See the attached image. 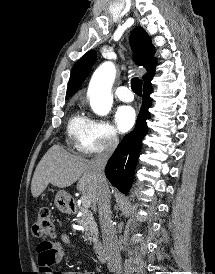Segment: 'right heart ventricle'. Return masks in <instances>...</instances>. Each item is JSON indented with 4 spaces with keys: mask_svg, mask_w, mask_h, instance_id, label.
Segmentation results:
<instances>
[{
    "mask_svg": "<svg viewBox=\"0 0 215 274\" xmlns=\"http://www.w3.org/2000/svg\"><path fill=\"white\" fill-rule=\"evenodd\" d=\"M89 125V119L80 114L79 112H75L67 125V132L69 138L77 145L83 136L85 135L87 128Z\"/></svg>",
    "mask_w": 215,
    "mask_h": 274,
    "instance_id": "e07e8e85",
    "label": "right heart ventricle"
}]
</instances>
